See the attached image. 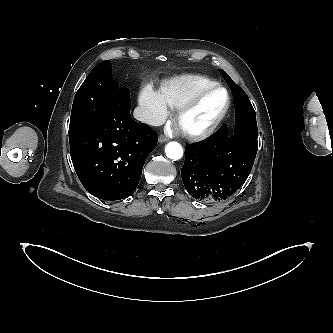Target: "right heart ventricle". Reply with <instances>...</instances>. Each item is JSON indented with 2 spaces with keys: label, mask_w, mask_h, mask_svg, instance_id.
<instances>
[{
  "label": "right heart ventricle",
  "mask_w": 333,
  "mask_h": 333,
  "mask_svg": "<svg viewBox=\"0 0 333 333\" xmlns=\"http://www.w3.org/2000/svg\"><path fill=\"white\" fill-rule=\"evenodd\" d=\"M216 83L202 75H181L164 82L160 95L168 108L178 110L199 91Z\"/></svg>",
  "instance_id": "obj_1"
}]
</instances>
